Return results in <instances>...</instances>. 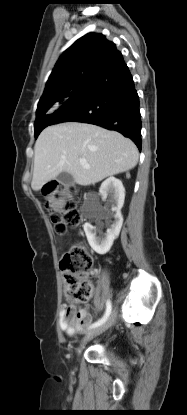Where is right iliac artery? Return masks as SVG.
Masks as SVG:
<instances>
[{
  "label": "right iliac artery",
  "mask_w": 187,
  "mask_h": 415,
  "mask_svg": "<svg viewBox=\"0 0 187 415\" xmlns=\"http://www.w3.org/2000/svg\"><path fill=\"white\" fill-rule=\"evenodd\" d=\"M111 310H112L111 302L109 300H107V302H106V311H105L104 316L100 320H98L97 322L92 324L90 326V328H95V327H98V326L102 325L107 320V318L109 317V315L111 313Z\"/></svg>",
  "instance_id": "1"
}]
</instances>
